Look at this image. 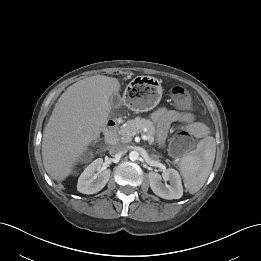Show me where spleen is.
<instances>
[{"instance_id":"3e777b00","label":"spleen","mask_w":261,"mask_h":261,"mask_svg":"<svg viewBox=\"0 0 261 261\" xmlns=\"http://www.w3.org/2000/svg\"><path fill=\"white\" fill-rule=\"evenodd\" d=\"M215 153V139L209 136L198 143L196 150L181 158L179 170L190 194L198 192L206 182L213 167Z\"/></svg>"}]
</instances>
